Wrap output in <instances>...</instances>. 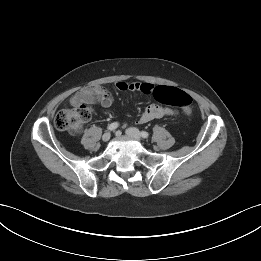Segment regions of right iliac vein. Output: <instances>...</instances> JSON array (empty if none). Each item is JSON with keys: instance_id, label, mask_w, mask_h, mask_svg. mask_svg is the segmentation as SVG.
<instances>
[{"instance_id": "right-iliac-vein-1", "label": "right iliac vein", "mask_w": 261, "mask_h": 261, "mask_svg": "<svg viewBox=\"0 0 261 261\" xmlns=\"http://www.w3.org/2000/svg\"><path fill=\"white\" fill-rule=\"evenodd\" d=\"M110 137H111L110 132H106V133L103 134L102 140H103L104 142H107V141L110 139Z\"/></svg>"}]
</instances>
